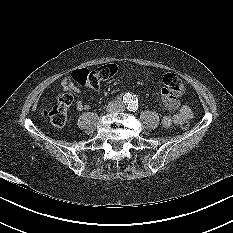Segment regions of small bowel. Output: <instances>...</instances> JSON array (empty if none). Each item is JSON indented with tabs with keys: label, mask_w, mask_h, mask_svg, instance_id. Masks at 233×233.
I'll use <instances>...</instances> for the list:
<instances>
[{
	"label": "small bowel",
	"mask_w": 233,
	"mask_h": 233,
	"mask_svg": "<svg viewBox=\"0 0 233 233\" xmlns=\"http://www.w3.org/2000/svg\"><path fill=\"white\" fill-rule=\"evenodd\" d=\"M61 87L64 93L76 97L74 108L77 111L88 110L90 105L85 103L82 98V91L74 85L70 78H64L61 81ZM162 100L169 111L174 112L173 115H166L162 118V125L165 128H169L173 125H181L183 122L192 118V110L189 106L181 104L180 101L162 89Z\"/></svg>",
	"instance_id": "c3829d8e"
}]
</instances>
